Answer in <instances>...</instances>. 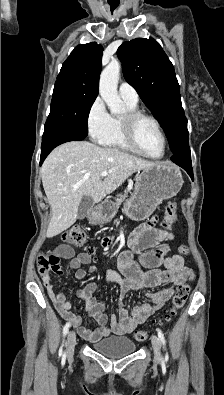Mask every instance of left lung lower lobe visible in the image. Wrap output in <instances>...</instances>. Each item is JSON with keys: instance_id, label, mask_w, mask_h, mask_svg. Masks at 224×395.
<instances>
[{"instance_id": "obj_1", "label": "left lung lower lobe", "mask_w": 224, "mask_h": 395, "mask_svg": "<svg viewBox=\"0 0 224 395\" xmlns=\"http://www.w3.org/2000/svg\"><path fill=\"white\" fill-rule=\"evenodd\" d=\"M171 160L186 170V172L193 179V169L191 165V154L188 140L175 153H173Z\"/></svg>"}]
</instances>
